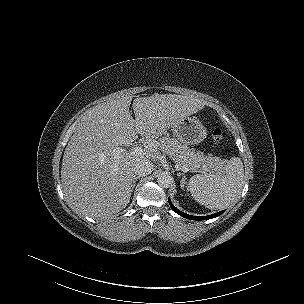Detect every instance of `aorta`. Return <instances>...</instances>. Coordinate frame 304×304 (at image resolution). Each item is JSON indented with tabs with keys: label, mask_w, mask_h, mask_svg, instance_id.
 Returning <instances> with one entry per match:
<instances>
[{
	"label": "aorta",
	"mask_w": 304,
	"mask_h": 304,
	"mask_svg": "<svg viewBox=\"0 0 304 304\" xmlns=\"http://www.w3.org/2000/svg\"><path fill=\"white\" fill-rule=\"evenodd\" d=\"M158 184L163 188H168L172 182V178L169 173L161 172L157 178Z\"/></svg>",
	"instance_id": "1"
}]
</instances>
